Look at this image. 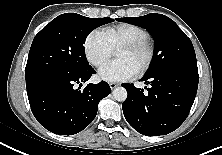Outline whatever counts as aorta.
Segmentation results:
<instances>
[{
    "label": "aorta",
    "mask_w": 222,
    "mask_h": 155,
    "mask_svg": "<svg viewBox=\"0 0 222 155\" xmlns=\"http://www.w3.org/2000/svg\"><path fill=\"white\" fill-rule=\"evenodd\" d=\"M112 95L116 101L123 102L127 98V90L124 87H116Z\"/></svg>",
    "instance_id": "obj_1"
}]
</instances>
